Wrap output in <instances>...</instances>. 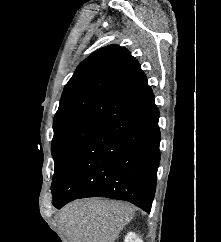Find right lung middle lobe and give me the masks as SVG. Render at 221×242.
Instances as JSON below:
<instances>
[{
    "instance_id": "right-lung-middle-lobe-1",
    "label": "right lung middle lobe",
    "mask_w": 221,
    "mask_h": 242,
    "mask_svg": "<svg viewBox=\"0 0 221 242\" xmlns=\"http://www.w3.org/2000/svg\"><path fill=\"white\" fill-rule=\"evenodd\" d=\"M100 123V121L87 120L54 128L51 147L55 168L52 189L57 184L72 155Z\"/></svg>"
}]
</instances>
